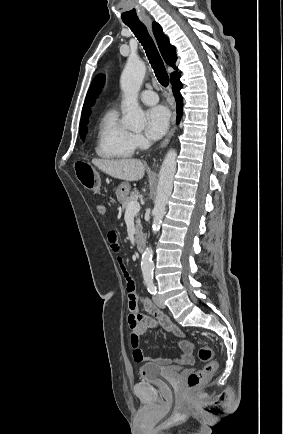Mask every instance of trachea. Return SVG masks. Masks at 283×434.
<instances>
[{
  "instance_id": "3493384b",
  "label": "trachea",
  "mask_w": 283,
  "mask_h": 434,
  "mask_svg": "<svg viewBox=\"0 0 283 434\" xmlns=\"http://www.w3.org/2000/svg\"><path fill=\"white\" fill-rule=\"evenodd\" d=\"M126 25L132 30L134 35L142 44L159 83L162 86L167 87L169 85L168 73L165 69L163 60L156 48L153 39L148 33L146 26L141 21L126 23Z\"/></svg>"
}]
</instances>
